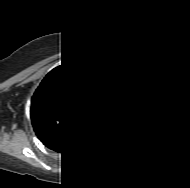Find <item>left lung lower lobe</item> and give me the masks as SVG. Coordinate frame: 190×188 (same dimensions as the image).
<instances>
[{"mask_svg":"<svg viewBox=\"0 0 190 188\" xmlns=\"http://www.w3.org/2000/svg\"><path fill=\"white\" fill-rule=\"evenodd\" d=\"M124 137L132 149H141L144 141L151 135V131L144 127L126 125L122 128Z\"/></svg>","mask_w":190,"mask_h":188,"instance_id":"0a47b994","label":"left lung lower lobe"}]
</instances>
